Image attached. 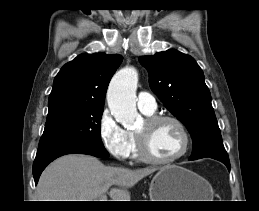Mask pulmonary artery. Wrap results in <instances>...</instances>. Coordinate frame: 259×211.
I'll list each match as a JSON object with an SVG mask.
<instances>
[{
    "label": "pulmonary artery",
    "mask_w": 259,
    "mask_h": 211,
    "mask_svg": "<svg viewBox=\"0 0 259 211\" xmlns=\"http://www.w3.org/2000/svg\"><path fill=\"white\" fill-rule=\"evenodd\" d=\"M137 106L143 113L152 114L157 104L153 95L148 92L141 91L137 96Z\"/></svg>",
    "instance_id": "obj_1"
}]
</instances>
